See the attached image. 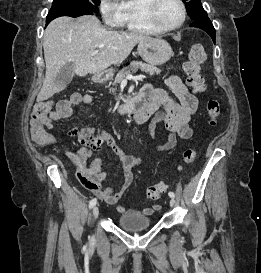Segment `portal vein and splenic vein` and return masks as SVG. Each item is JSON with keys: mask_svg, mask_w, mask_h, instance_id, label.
<instances>
[{"mask_svg": "<svg viewBox=\"0 0 261 273\" xmlns=\"http://www.w3.org/2000/svg\"><path fill=\"white\" fill-rule=\"evenodd\" d=\"M98 52H99V49L93 51V52L91 53V56H95L96 54H98ZM143 78H145L144 75L133 76V75H131V74H128V75L125 77L126 80H142Z\"/></svg>", "mask_w": 261, "mask_h": 273, "instance_id": "1", "label": "portal vein and splenic vein"}]
</instances>
